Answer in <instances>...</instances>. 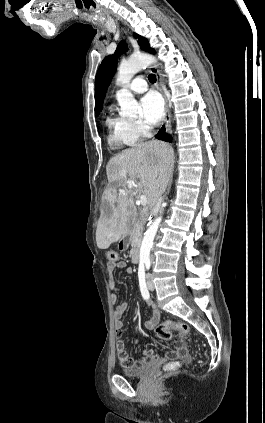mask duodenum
Instances as JSON below:
<instances>
[{
  "instance_id": "410a0bca",
  "label": "duodenum",
  "mask_w": 265,
  "mask_h": 423,
  "mask_svg": "<svg viewBox=\"0 0 265 423\" xmlns=\"http://www.w3.org/2000/svg\"><path fill=\"white\" fill-rule=\"evenodd\" d=\"M131 258L134 263L140 260V245L138 241H134L131 249Z\"/></svg>"
}]
</instances>
